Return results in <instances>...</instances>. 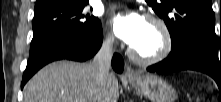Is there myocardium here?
I'll return each mask as SVG.
<instances>
[{
	"label": "myocardium",
	"mask_w": 221,
	"mask_h": 102,
	"mask_svg": "<svg viewBox=\"0 0 221 102\" xmlns=\"http://www.w3.org/2000/svg\"><path fill=\"white\" fill-rule=\"evenodd\" d=\"M145 20L155 24L161 32L163 44L160 51L152 56H142L130 46L128 53L135 62L143 65H151L164 60L170 54L173 46V39L169 27L162 18L154 14H146Z\"/></svg>",
	"instance_id": "1"
}]
</instances>
